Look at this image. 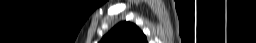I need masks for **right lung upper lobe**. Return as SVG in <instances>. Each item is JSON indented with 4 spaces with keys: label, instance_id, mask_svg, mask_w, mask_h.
Instances as JSON below:
<instances>
[{
    "label": "right lung upper lobe",
    "instance_id": "1",
    "mask_svg": "<svg viewBox=\"0 0 256 43\" xmlns=\"http://www.w3.org/2000/svg\"><path fill=\"white\" fill-rule=\"evenodd\" d=\"M100 43H148L143 32L133 23L121 22L109 31Z\"/></svg>",
    "mask_w": 256,
    "mask_h": 43
}]
</instances>
